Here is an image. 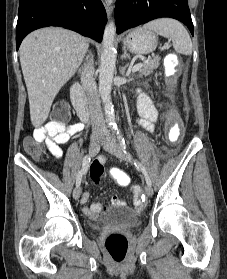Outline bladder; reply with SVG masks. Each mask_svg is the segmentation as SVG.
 Listing matches in <instances>:
<instances>
[{
	"mask_svg": "<svg viewBox=\"0 0 227 279\" xmlns=\"http://www.w3.org/2000/svg\"><path fill=\"white\" fill-rule=\"evenodd\" d=\"M139 224V217L131 214L123 209H119L115 213H110L108 216L99 218L90 223L92 231H99L102 228L123 227L127 229L134 228Z\"/></svg>",
	"mask_w": 227,
	"mask_h": 279,
	"instance_id": "31cf9c89",
	"label": "bladder"
}]
</instances>
